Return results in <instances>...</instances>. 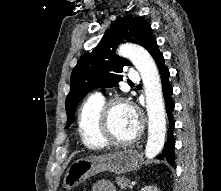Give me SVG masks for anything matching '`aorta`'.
Segmentation results:
<instances>
[{"instance_id": "aorta-1", "label": "aorta", "mask_w": 221, "mask_h": 191, "mask_svg": "<svg viewBox=\"0 0 221 191\" xmlns=\"http://www.w3.org/2000/svg\"><path fill=\"white\" fill-rule=\"evenodd\" d=\"M118 53L129 58L141 75L148 114L145 155L154 158L161 152L166 134V114L158 68L149 52L138 45L122 44Z\"/></svg>"}]
</instances>
